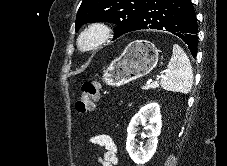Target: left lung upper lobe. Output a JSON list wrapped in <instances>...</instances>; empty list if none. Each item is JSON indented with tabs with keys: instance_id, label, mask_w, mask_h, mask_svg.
I'll return each instance as SVG.
<instances>
[{
	"instance_id": "left-lung-upper-lobe-1",
	"label": "left lung upper lobe",
	"mask_w": 227,
	"mask_h": 166,
	"mask_svg": "<svg viewBox=\"0 0 227 166\" xmlns=\"http://www.w3.org/2000/svg\"><path fill=\"white\" fill-rule=\"evenodd\" d=\"M147 0H83L76 16L77 31L88 22L116 24L115 38L134 31Z\"/></svg>"
}]
</instances>
